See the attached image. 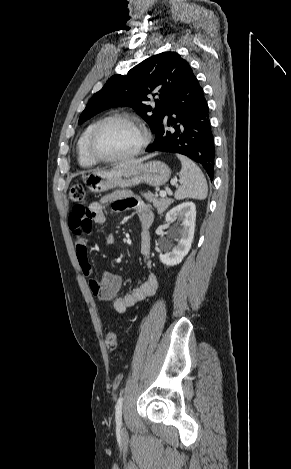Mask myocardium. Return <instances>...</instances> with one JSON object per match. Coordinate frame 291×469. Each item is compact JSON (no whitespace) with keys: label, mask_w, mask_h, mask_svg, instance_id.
I'll list each match as a JSON object with an SVG mask.
<instances>
[{"label":"myocardium","mask_w":291,"mask_h":469,"mask_svg":"<svg viewBox=\"0 0 291 469\" xmlns=\"http://www.w3.org/2000/svg\"><path fill=\"white\" fill-rule=\"evenodd\" d=\"M115 121H124L138 128L139 131L142 133V141L140 142V144L137 146L135 150H133L132 152L128 154L118 156V157H106V156H103L97 150L96 141L101 130L109 123L115 122ZM150 140H151V135H150L149 130L139 119L129 114H114V115H111L102 119L94 126L88 138L87 149H88L90 156L94 158L97 162L117 163V162H123V161L129 160L138 156L148 147Z\"/></svg>","instance_id":"f54148a6"}]
</instances>
